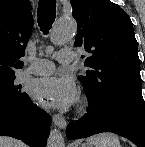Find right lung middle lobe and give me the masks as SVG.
Instances as JSON below:
<instances>
[{"label": "right lung middle lobe", "mask_w": 145, "mask_h": 147, "mask_svg": "<svg viewBox=\"0 0 145 147\" xmlns=\"http://www.w3.org/2000/svg\"><path fill=\"white\" fill-rule=\"evenodd\" d=\"M15 74L0 75V106L20 104L27 96L15 83Z\"/></svg>", "instance_id": "right-lung-middle-lobe-1"}]
</instances>
